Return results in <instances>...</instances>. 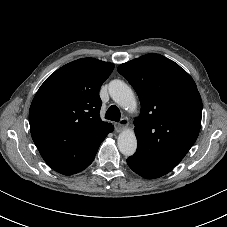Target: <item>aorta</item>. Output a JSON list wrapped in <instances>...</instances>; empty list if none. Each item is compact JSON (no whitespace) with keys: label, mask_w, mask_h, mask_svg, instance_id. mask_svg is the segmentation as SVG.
<instances>
[{"label":"aorta","mask_w":227,"mask_h":227,"mask_svg":"<svg viewBox=\"0 0 227 227\" xmlns=\"http://www.w3.org/2000/svg\"><path fill=\"white\" fill-rule=\"evenodd\" d=\"M109 94L111 98L123 109L134 111L137 106L132 89L121 80H113L109 83ZM120 152L125 156H131L137 149V138L132 129L122 131L117 140Z\"/></svg>","instance_id":"762f6f07"}]
</instances>
